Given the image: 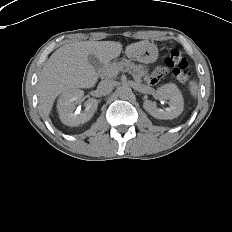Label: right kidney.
<instances>
[{"label":"right kidney","mask_w":232,"mask_h":232,"mask_svg":"<svg viewBox=\"0 0 232 232\" xmlns=\"http://www.w3.org/2000/svg\"><path fill=\"white\" fill-rule=\"evenodd\" d=\"M84 92L79 89H69L64 91L57 102V110L62 123L68 126H78L89 121L97 110L98 101L89 98L85 102V110H75V106L83 101Z\"/></svg>","instance_id":"ca27d5eb"}]
</instances>
